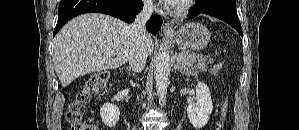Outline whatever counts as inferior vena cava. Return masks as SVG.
I'll return each mask as SVG.
<instances>
[{
	"label": "inferior vena cava",
	"mask_w": 299,
	"mask_h": 130,
	"mask_svg": "<svg viewBox=\"0 0 299 130\" xmlns=\"http://www.w3.org/2000/svg\"><path fill=\"white\" fill-rule=\"evenodd\" d=\"M152 11V2H145L143 10L136 15L134 22L128 27L131 38L128 61L135 72L142 71L146 64L147 53L144 45L146 36L145 25L149 20Z\"/></svg>",
	"instance_id": "602c4592"
}]
</instances>
